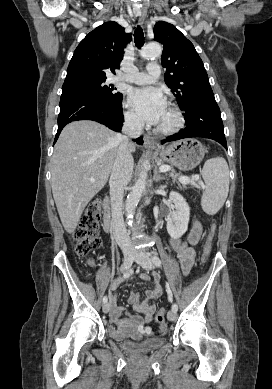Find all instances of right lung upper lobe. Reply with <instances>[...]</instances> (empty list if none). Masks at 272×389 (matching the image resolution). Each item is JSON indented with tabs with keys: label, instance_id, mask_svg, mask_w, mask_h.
<instances>
[{
	"label": "right lung upper lobe",
	"instance_id": "right-lung-upper-lobe-1",
	"mask_svg": "<svg viewBox=\"0 0 272 389\" xmlns=\"http://www.w3.org/2000/svg\"><path fill=\"white\" fill-rule=\"evenodd\" d=\"M131 34L116 22H106L91 31L77 46L64 84L106 79L105 71L119 68L123 49Z\"/></svg>",
	"mask_w": 272,
	"mask_h": 389
}]
</instances>
